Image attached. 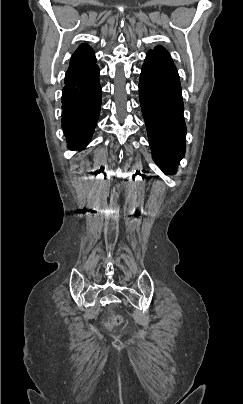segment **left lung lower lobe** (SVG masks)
I'll return each mask as SVG.
<instances>
[{"instance_id":"left-lung-lower-lobe-1","label":"left lung lower lobe","mask_w":243,"mask_h":404,"mask_svg":"<svg viewBox=\"0 0 243 404\" xmlns=\"http://www.w3.org/2000/svg\"><path fill=\"white\" fill-rule=\"evenodd\" d=\"M139 97L153 159L173 174L185 154L186 125L179 75L170 57L147 53Z\"/></svg>"}]
</instances>
